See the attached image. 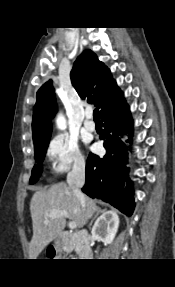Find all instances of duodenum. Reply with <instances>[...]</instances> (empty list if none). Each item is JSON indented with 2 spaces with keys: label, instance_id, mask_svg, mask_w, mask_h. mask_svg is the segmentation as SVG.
<instances>
[{
  "label": "duodenum",
  "instance_id": "obj_1",
  "mask_svg": "<svg viewBox=\"0 0 175 287\" xmlns=\"http://www.w3.org/2000/svg\"><path fill=\"white\" fill-rule=\"evenodd\" d=\"M60 244L67 251L76 247L78 255L83 259L92 257L90 235L87 231H65L60 235Z\"/></svg>",
  "mask_w": 175,
  "mask_h": 287
}]
</instances>
